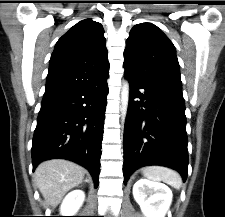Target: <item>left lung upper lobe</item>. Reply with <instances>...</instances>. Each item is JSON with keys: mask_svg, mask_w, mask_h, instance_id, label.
Segmentation results:
<instances>
[{"mask_svg": "<svg viewBox=\"0 0 225 217\" xmlns=\"http://www.w3.org/2000/svg\"><path fill=\"white\" fill-rule=\"evenodd\" d=\"M123 66L126 74L144 83L182 90L175 47L152 23H140L132 28Z\"/></svg>", "mask_w": 225, "mask_h": 217, "instance_id": "obj_1", "label": "left lung upper lobe"}]
</instances>
